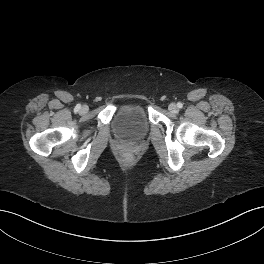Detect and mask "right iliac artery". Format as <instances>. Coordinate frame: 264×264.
<instances>
[{"mask_svg":"<svg viewBox=\"0 0 264 264\" xmlns=\"http://www.w3.org/2000/svg\"><path fill=\"white\" fill-rule=\"evenodd\" d=\"M80 108H81V105L77 104L75 109L78 111Z\"/></svg>","mask_w":264,"mask_h":264,"instance_id":"right-iliac-artery-1","label":"right iliac artery"}]
</instances>
